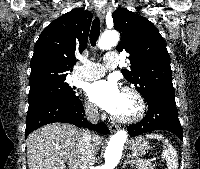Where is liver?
Here are the masks:
<instances>
[{
    "label": "liver",
    "instance_id": "1",
    "mask_svg": "<svg viewBox=\"0 0 200 169\" xmlns=\"http://www.w3.org/2000/svg\"><path fill=\"white\" fill-rule=\"evenodd\" d=\"M82 135V130L65 123L34 131L26 140L29 169H80ZM93 142L96 154L102 138L93 134Z\"/></svg>",
    "mask_w": 200,
    "mask_h": 169
}]
</instances>
